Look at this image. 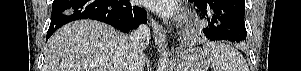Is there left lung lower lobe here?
Returning a JSON list of instances; mask_svg holds the SVG:
<instances>
[{"instance_id":"obj_1","label":"left lung lower lobe","mask_w":301,"mask_h":71,"mask_svg":"<svg viewBox=\"0 0 301 71\" xmlns=\"http://www.w3.org/2000/svg\"><path fill=\"white\" fill-rule=\"evenodd\" d=\"M194 3L201 18H209L208 27L203 30L210 40H246L244 24V0H189Z\"/></svg>"}]
</instances>
